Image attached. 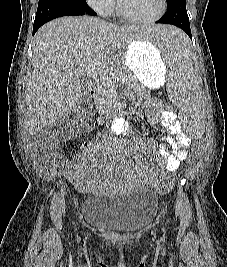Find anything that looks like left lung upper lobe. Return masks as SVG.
I'll return each mask as SVG.
<instances>
[{"mask_svg":"<svg viewBox=\"0 0 227 267\" xmlns=\"http://www.w3.org/2000/svg\"><path fill=\"white\" fill-rule=\"evenodd\" d=\"M167 1V3H169V2H180V1H185V0H166Z\"/></svg>","mask_w":227,"mask_h":267,"instance_id":"5c2ea615","label":"left lung upper lobe"}]
</instances>
